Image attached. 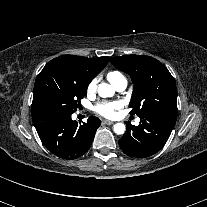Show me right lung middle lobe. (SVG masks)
I'll use <instances>...</instances> for the list:
<instances>
[{"mask_svg": "<svg viewBox=\"0 0 207 207\" xmlns=\"http://www.w3.org/2000/svg\"><path fill=\"white\" fill-rule=\"evenodd\" d=\"M87 86L88 83L70 68L50 61L36 78L32 112L58 109L74 113L86 94Z\"/></svg>", "mask_w": 207, "mask_h": 207, "instance_id": "right-lung-middle-lobe-1", "label": "right lung middle lobe"}]
</instances>
